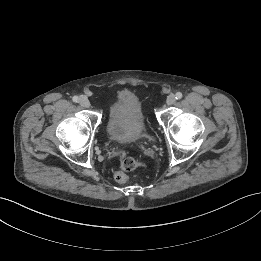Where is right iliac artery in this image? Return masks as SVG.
I'll list each match as a JSON object with an SVG mask.
<instances>
[{
  "label": "right iliac artery",
  "mask_w": 261,
  "mask_h": 261,
  "mask_svg": "<svg viewBox=\"0 0 261 261\" xmlns=\"http://www.w3.org/2000/svg\"><path fill=\"white\" fill-rule=\"evenodd\" d=\"M72 100H73V102L78 103L79 102V97L78 96H74Z\"/></svg>",
  "instance_id": "82829eb1"
}]
</instances>
